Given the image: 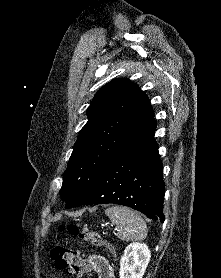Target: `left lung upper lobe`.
Instances as JSON below:
<instances>
[{
    "label": "left lung upper lobe",
    "instance_id": "1",
    "mask_svg": "<svg viewBox=\"0 0 221 278\" xmlns=\"http://www.w3.org/2000/svg\"><path fill=\"white\" fill-rule=\"evenodd\" d=\"M87 115L63 176L60 194L67 208L75 206L121 150L156 124L149 99L127 78L103 86Z\"/></svg>",
    "mask_w": 221,
    "mask_h": 278
}]
</instances>
